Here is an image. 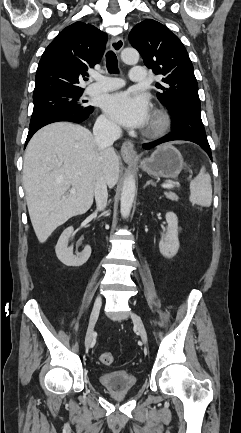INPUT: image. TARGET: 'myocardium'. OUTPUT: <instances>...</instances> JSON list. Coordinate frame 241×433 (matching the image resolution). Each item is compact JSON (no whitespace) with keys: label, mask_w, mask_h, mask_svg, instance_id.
Masks as SVG:
<instances>
[{"label":"myocardium","mask_w":241,"mask_h":433,"mask_svg":"<svg viewBox=\"0 0 241 433\" xmlns=\"http://www.w3.org/2000/svg\"><path fill=\"white\" fill-rule=\"evenodd\" d=\"M169 116L161 111H154L151 121L146 129V134L151 137H158L163 135L169 128Z\"/></svg>","instance_id":"f54148a6"}]
</instances>
